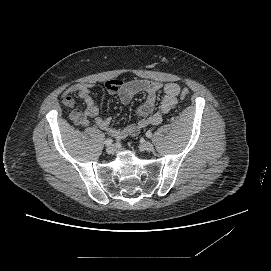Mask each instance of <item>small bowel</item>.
I'll use <instances>...</instances> for the list:
<instances>
[{"label": "small bowel", "mask_w": 271, "mask_h": 271, "mask_svg": "<svg viewBox=\"0 0 271 271\" xmlns=\"http://www.w3.org/2000/svg\"><path fill=\"white\" fill-rule=\"evenodd\" d=\"M105 86L109 93L117 94L124 104L129 103L137 94H146L144 102L136 109L135 122L124 128H116L112 126L109 117H101L91 94L92 85L88 83H76L69 86L62 94V103L65 107L72 109L69 118L75 125L87 127L94 123L118 140L134 136L145 127L160 124L164 117L176 108L180 93V87L176 83L164 84L142 79L126 82L110 80L106 82ZM159 92H163L164 96L156 110V95ZM73 94L84 101L86 108L83 112L73 109L75 105Z\"/></svg>", "instance_id": "obj_1"}]
</instances>
